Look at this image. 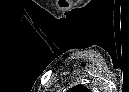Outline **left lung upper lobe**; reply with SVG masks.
<instances>
[{
	"instance_id": "left-lung-upper-lobe-1",
	"label": "left lung upper lobe",
	"mask_w": 129,
	"mask_h": 92,
	"mask_svg": "<svg viewBox=\"0 0 129 92\" xmlns=\"http://www.w3.org/2000/svg\"><path fill=\"white\" fill-rule=\"evenodd\" d=\"M69 92H90L84 85H77L69 89Z\"/></svg>"
}]
</instances>
